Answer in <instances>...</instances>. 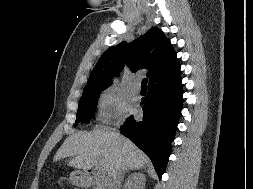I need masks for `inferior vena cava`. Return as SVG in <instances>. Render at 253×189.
Segmentation results:
<instances>
[{
  "label": "inferior vena cava",
  "mask_w": 253,
  "mask_h": 189,
  "mask_svg": "<svg viewBox=\"0 0 253 189\" xmlns=\"http://www.w3.org/2000/svg\"><path fill=\"white\" fill-rule=\"evenodd\" d=\"M124 176L123 169H117L113 174L108 176L106 188L107 189H120V183Z\"/></svg>",
  "instance_id": "obj_1"
}]
</instances>
